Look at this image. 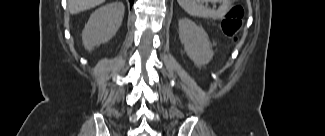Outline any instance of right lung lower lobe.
<instances>
[{"label": "right lung lower lobe", "instance_id": "obj_1", "mask_svg": "<svg viewBox=\"0 0 325 136\" xmlns=\"http://www.w3.org/2000/svg\"><path fill=\"white\" fill-rule=\"evenodd\" d=\"M129 1H130V5L132 6V4H133L134 0H129Z\"/></svg>", "mask_w": 325, "mask_h": 136}]
</instances>
